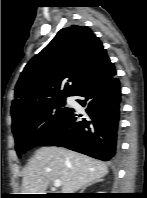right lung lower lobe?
Instances as JSON below:
<instances>
[{
	"label": "right lung lower lobe",
	"mask_w": 147,
	"mask_h": 198,
	"mask_svg": "<svg viewBox=\"0 0 147 198\" xmlns=\"http://www.w3.org/2000/svg\"><path fill=\"white\" fill-rule=\"evenodd\" d=\"M74 96L86 108L87 116L77 122L71 110L62 125L38 146L65 147L107 161L116 153L120 114V83L110 60Z\"/></svg>",
	"instance_id": "1"
}]
</instances>
